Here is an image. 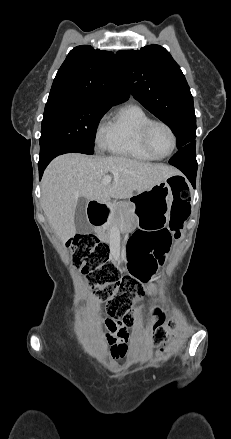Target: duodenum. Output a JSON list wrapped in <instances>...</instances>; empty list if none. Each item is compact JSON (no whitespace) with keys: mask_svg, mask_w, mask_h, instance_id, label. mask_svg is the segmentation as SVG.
Listing matches in <instances>:
<instances>
[{"mask_svg":"<svg viewBox=\"0 0 231 439\" xmlns=\"http://www.w3.org/2000/svg\"><path fill=\"white\" fill-rule=\"evenodd\" d=\"M109 205L107 201H92L89 204V219L91 223L96 224L102 218L105 208Z\"/></svg>","mask_w":231,"mask_h":439,"instance_id":"1","label":"duodenum"}]
</instances>
